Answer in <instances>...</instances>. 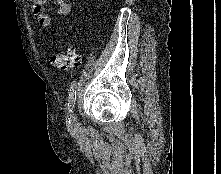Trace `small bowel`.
<instances>
[{
  "mask_svg": "<svg viewBox=\"0 0 221 174\" xmlns=\"http://www.w3.org/2000/svg\"><path fill=\"white\" fill-rule=\"evenodd\" d=\"M32 2V14L39 26L47 28L51 25L52 16L45 12L46 0H30ZM57 5L58 15H67L71 10V5L67 0H53Z\"/></svg>",
  "mask_w": 221,
  "mask_h": 174,
  "instance_id": "c3829d8e",
  "label": "small bowel"
}]
</instances>
